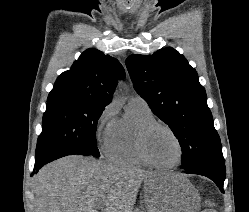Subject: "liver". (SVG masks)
I'll return each instance as SVG.
<instances>
[{
	"mask_svg": "<svg viewBox=\"0 0 249 212\" xmlns=\"http://www.w3.org/2000/svg\"><path fill=\"white\" fill-rule=\"evenodd\" d=\"M173 172H144L111 166L83 156L47 164L33 178L34 212H133L145 180L152 190L165 188ZM206 212V210H204ZM214 212V210H210Z\"/></svg>",
	"mask_w": 249,
	"mask_h": 212,
	"instance_id": "obj_1",
	"label": "liver"
}]
</instances>
